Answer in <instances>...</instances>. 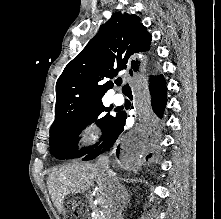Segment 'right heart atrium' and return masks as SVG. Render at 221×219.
Masks as SVG:
<instances>
[{
	"instance_id": "obj_1",
	"label": "right heart atrium",
	"mask_w": 221,
	"mask_h": 219,
	"mask_svg": "<svg viewBox=\"0 0 221 219\" xmlns=\"http://www.w3.org/2000/svg\"><path fill=\"white\" fill-rule=\"evenodd\" d=\"M83 138L86 141L94 142L98 137V129L95 122L88 121L85 123L83 130Z\"/></svg>"
}]
</instances>
